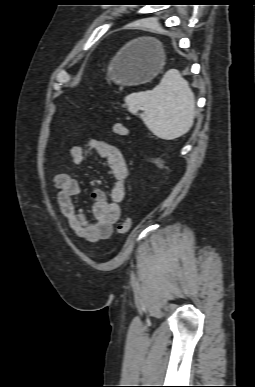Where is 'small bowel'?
I'll return each mask as SVG.
<instances>
[{
	"label": "small bowel",
	"mask_w": 255,
	"mask_h": 387,
	"mask_svg": "<svg viewBox=\"0 0 255 387\" xmlns=\"http://www.w3.org/2000/svg\"><path fill=\"white\" fill-rule=\"evenodd\" d=\"M87 152H93L107 163L108 171L113 178L109 192L94 186L91 192L92 207L89 219L82 209L78 208L75 198L81 193L79 181L70 173H58L53 182L57 189V203L69 227L77 236L90 242L108 238L113 226L121 215L120 204L124 200L128 179V168L119 148L105 141L89 139L84 146H72L69 149L74 164L81 165Z\"/></svg>",
	"instance_id": "1"
}]
</instances>
